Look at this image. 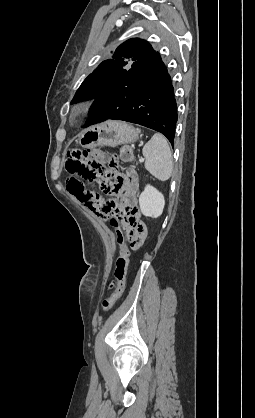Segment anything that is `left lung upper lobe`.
<instances>
[{
  "label": "left lung upper lobe",
  "instance_id": "1",
  "mask_svg": "<svg viewBox=\"0 0 255 418\" xmlns=\"http://www.w3.org/2000/svg\"><path fill=\"white\" fill-rule=\"evenodd\" d=\"M155 50L142 39L133 38L121 44L112 59L103 61L81 84L71 104L96 99L113 86L130 68L138 65Z\"/></svg>",
  "mask_w": 255,
  "mask_h": 418
}]
</instances>
